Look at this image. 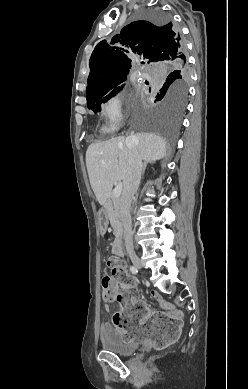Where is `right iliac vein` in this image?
Returning <instances> with one entry per match:
<instances>
[{
    "instance_id": "63e3f726",
    "label": "right iliac vein",
    "mask_w": 248,
    "mask_h": 389,
    "mask_svg": "<svg viewBox=\"0 0 248 389\" xmlns=\"http://www.w3.org/2000/svg\"><path fill=\"white\" fill-rule=\"evenodd\" d=\"M130 259H131L132 263L135 265V267H137V268L142 267V261L140 260V258L137 255H135V254L131 255Z\"/></svg>"
}]
</instances>
